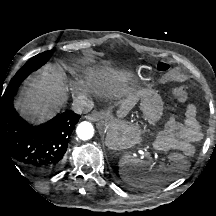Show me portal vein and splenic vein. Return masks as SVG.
Returning <instances> with one entry per match:
<instances>
[{
  "label": "portal vein and splenic vein",
  "mask_w": 216,
  "mask_h": 216,
  "mask_svg": "<svg viewBox=\"0 0 216 216\" xmlns=\"http://www.w3.org/2000/svg\"><path fill=\"white\" fill-rule=\"evenodd\" d=\"M139 153L145 155V156H150L148 152L146 151H142V150H139Z\"/></svg>",
  "instance_id": "1"
}]
</instances>
